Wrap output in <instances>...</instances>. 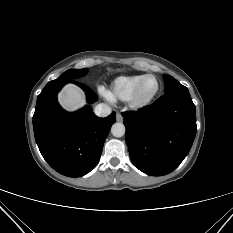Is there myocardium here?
<instances>
[{"label":"myocardium","instance_id":"myocardium-1","mask_svg":"<svg viewBox=\"0 0 233 233\" xmlns=\"http://www.w3.org/2000/svg\"><path fill=\"white\" fill-rule=\"evenodd\" d=\"M148 78H153L156 81V89L153 92L152 95H150L148 98L146 99H141L140 98V90L141 87L143 85V83L148 79ZM160 90V83L159 80L157 79L156 76L154 75H145L137 84V86L135 87L133 93L131 94L130 98L128 99L129 102V106L135 110V111H141L144 110L145 108H147L152 102L153 100L156 98V96L158 95Z\"/></svg>","mask_w":233,"mask_h":233}]
</instances>
